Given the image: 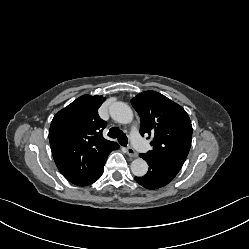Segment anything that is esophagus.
<instances>
[{"label": "esophagus", "instance_id": "34e87169", "mask_svg": "<svg viewBox=\"0 0 249 249\" xmlns=\"http://www.w3.org/2000/svg\"><path fill=\"white\" fill-rule=\"evenodd\" d=\"M126 153L133 158H136L138 156L137 152L135 151V149L132 146H129L126 150Z\"/></svg>", "mask_w": 249, "mask_h": 249}]
</instances>
